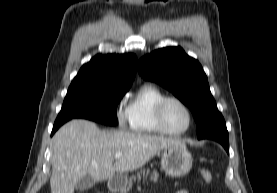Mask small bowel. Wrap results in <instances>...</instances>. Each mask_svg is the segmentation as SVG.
<instances>
[{"instance_id": "1", "label": "small bowel", "mask_w": 277, "mask_h": 193, "mask_svg": "<svg viewBox=\"0 0 277 193\" xmlns=\"http://www.w3.org/2000/svg\"><path fill=\"white\" fill-rule=\"evenodd\" d=\"M176 193H189V191L187 189H182L177 191Z\"/></svg>"}]
</instances>
